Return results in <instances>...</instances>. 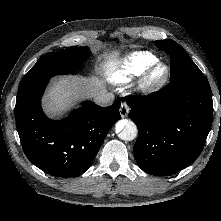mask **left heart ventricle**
Instances as JSON below:
<instances>
[{
  "label": "left heart ventricle",
  "mask_w": 221,
  "mask_h": 221,
  "mask_svg": "<svg viewBox=\"0 0 221 221\" xmlns=\"http://www.w3.org/2000/svg\"><path fill=\"white\" fill-rule=\"evenodd\" d=\"M161 74H162V70L161 69L157 70L156 76H160Z\"/></svg>",
  "instance_id": "1"
}]
</instances>
